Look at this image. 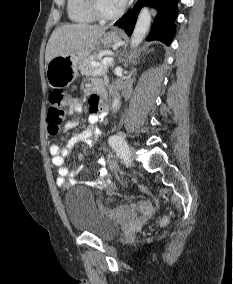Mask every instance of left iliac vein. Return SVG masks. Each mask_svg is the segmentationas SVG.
I'll use <instances>...</instances> for the list:
<instances>
[{
	"mask_svg": "<svg viewBox=\"0 0 233 284\" xmlns=\"http://www.w3.org/2000/svg\"><path fill=\"white\" fill-rule=\"evenodd\" d=\"M135 151L133 148H129L127 154L124 157V161L126 164H130L134 159Z\"/></svg>",
	"mask_w": 233,
	"mask_h": 284,
	"instance_id": "left-iliac-vein-1",
	"label": "left iliac vein"
}]
</instances>
